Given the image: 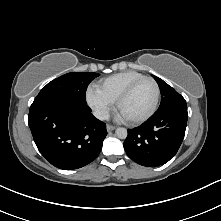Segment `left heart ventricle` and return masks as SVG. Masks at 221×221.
Masks as SVG:
<instances>
[{
    "label": "left heart ventricle",
    "mask_w": 221,
    "mask_h": 221,
    "mask_svg": "<svg viewBox=\"0 0 221 221\" xmlns=\"http://www.w3.org/2000/svg\"><path fill=\"white\" fill-rule=\"evenodd\" d=\"M155 87L149 80L139 83L122 104L120 113L126 119H135L146 114L153 105Z\"/></svg>",
    "instance_id": "1"
}]
</instances>
